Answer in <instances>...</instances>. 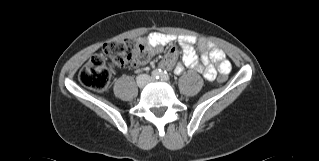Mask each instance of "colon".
Instances as JSON below:
<instances>
[{
  "label": "colon",
  "mask_w": 319,
  "mask_h": 161,
  "mask_svg": "<svg viewBox=\"0 0 319 161\" xmlns=\"http://www.w3.org/2000/svg\"><path fill=\"white\" fill-rule=\"evenodd\" d=\"M108 57L115 65L137 68L150 62V51L137 42L130 40L109 41L102 53L94 54L80 69L79 80L87 88L104 91L110 83V68L105 59ZM227 80V75L218 77L220 83Z\"/></svg>",
  "instance_id": "1"
}]
</instances>
